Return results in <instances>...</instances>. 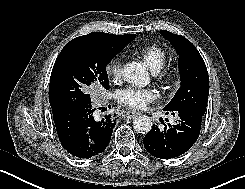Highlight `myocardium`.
<instances>
[{
	"label": "myocardium",
	"mask_w": 245,
	"mask_h": 189,
	"mask_svg": "<svg viewBox=\"0 0 245 189\" xmlns=\"http://www.w3.org/2000/svg\"><path fill=\"white\" fill-rule=\"evenodd\" d=\"M158 76L161 78V79H164V80H168L170 78V73L167 69H160L158 71Z\"/></svg>",
	"instance_id": "1"
}]
</instances>
